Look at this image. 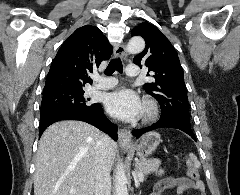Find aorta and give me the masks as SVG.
I'll use <instances>...</instances> for the list:
<instances>
[{"mask_svg":"<svg viewBox=\"0 0 240 195\" xmlns=\"http://www.w3.org/2000/svg\"><path fill=\"white\" fill-rule=\"evenodd\" d=\"M145 48V42L143 38H131L127 44L128 54H140ZM115 191L116 195H129L127 187V177L123 163L118 161V165L115 169Z\"/></svg>","mask_w":240,"mask_h":195,"instance_id":"obj_1","label":"aorta"}]
</instances>
